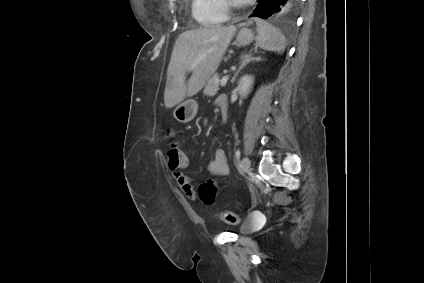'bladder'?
I'll return each mask as SVG.
<instances>
[{
    "label": "bladder",
    "instance_id": "31cf9c89",
    "mask_svg": "<svg viewBox=\"0 0 424 283\" xmlns=\"http://www.w3.org/2000/svg\"><path fill=\"white\" fill-rule=\"evenodd\" d=\"M259 229V223L254 216H248L241 224L239 233L242 235L251 234Z\"/></svg>",
    "mask_w": 424,
    "mask_h": 283
}]
</instances>
